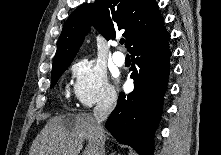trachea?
Segmentation results:
<instances>
[{"label":"trachea","mask_w":221,"mask_h":155,"mask_svg":"<svg viewBox=\"0 0 221 155\" xmlns=\"http://www.w3.org/2000/svg\"><path fill=\"white\" fill-rule=\"evenodd\" d=\"M123 43H124V39H121V40H120V44H123Z\"/></svg>","instance_id":"1"}]
</instances>
